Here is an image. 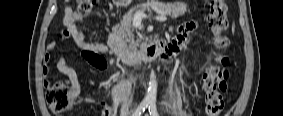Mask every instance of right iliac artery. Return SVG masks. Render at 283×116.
<instances>
[{
	"instance_id": "82829eb1",
	"label": "right iliac artery",
	"mask_w": 283,
	"mask_h": 116,
	"mask_svg": "<svg viewBox=\"0 0 283 116\" xmlns=\"http://www.w3.org/2000/svg\"><path fill=\"white\" fill-rule=\"evenodd\" d=\"M148 107V103L147 102H142L138 108L135 110V112L133 113L132 116H140L145 109Z\"/></svg>"
}]
</instances>
